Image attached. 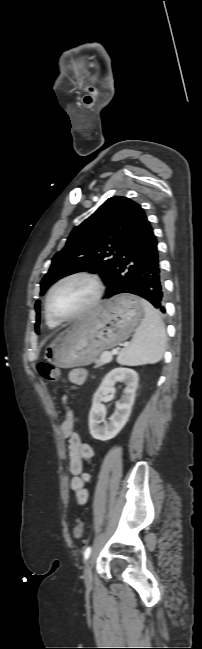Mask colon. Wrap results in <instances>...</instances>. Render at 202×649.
I'll return each instance as SVG.
<instances>
[{
  "label": "colon",
  "mask_w": 202,
  "mask_h": 649,
  "mask_svg": "<svg viewBox=\"0 0 202 649\" xmlns=\"http://www.w3.org/2000/svg\"><path fill=\"white\" fill-rule=\"evenodd\" d=\"M38 373L47 381H57L60 371L57 367L49 363H40L37 366ZM85 533V525L82 520H78L73 529V535L76 539H81Z\"/></svg>",
  "instance_id": "5ec220e1"
}]
</instances>
